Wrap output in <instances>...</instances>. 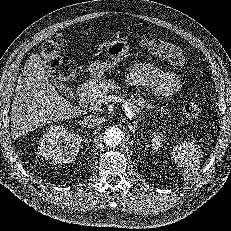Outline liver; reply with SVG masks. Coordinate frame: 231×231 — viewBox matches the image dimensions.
Masks as SVG:
<instances>
[{"instance_id":"1","label":"liver","mask_w":231,"mask_h":231,"mask_svg":"<svg viewBox=\"0 0 231 231\" xmlns=\"http://www.w3.org/2000/svg\"><path fill=\"white\" fill-rule=\"evenodd\" d=\"M11 107V133L15 140L47 123L76 118L83 113L59 96L38 54L27 59Z\"/></svg>"}]
</instances>
